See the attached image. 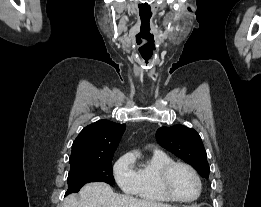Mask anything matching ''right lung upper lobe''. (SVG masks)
<instances>
[{"label":"right lung upper lobe","instance_id":"1","mask_svg":"<svg viewBox=\"0 0 261 207\" xmlns=\"http://www.w3.org/2000/svg\"><path fill=\"white\" fill-rule=\"evenodd\" d=\"M125 124L99 120L85 127L72 145L70 164L113 157Z\"/></svg>","mask_w":261,"mask_h":207}]
</instances>
